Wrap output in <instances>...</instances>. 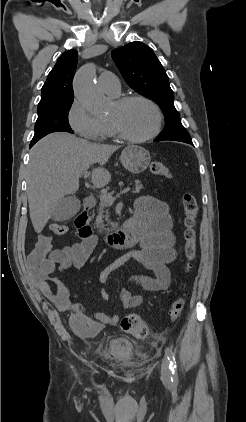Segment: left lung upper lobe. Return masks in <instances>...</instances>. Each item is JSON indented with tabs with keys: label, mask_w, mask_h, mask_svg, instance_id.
Segmentation results:
<instances>
[{
	"label": "left lung upper lobe",
	"mask_w": 246,
	"mask_h": 422,
	"mask_svg": "<svg viewBox=\"0 0 246 422\" xmlns=\"http://www.w3.org/2000/svg\"><path fill=\"white\" fill-rule=\"evenodd\" d=\"M111 55L127 84L161 108L165 127L156 139L191 140L174 106V94L168 76L152 49L136 41L113 50Z\"/></svg>",
	"instance_id": "left-lung-upper-lobe-1"
}]
</instances>
